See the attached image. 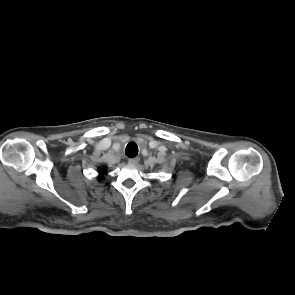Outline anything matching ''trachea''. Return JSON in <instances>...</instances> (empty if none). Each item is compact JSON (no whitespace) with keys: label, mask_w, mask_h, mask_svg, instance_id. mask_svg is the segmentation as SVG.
<instances>
[{"label":"trachea","mask_w":295,"mask_h":295,"mask_svg":"<svg viewBox=\"0 0 295 295\" xmlns=\"http://www.w3.org/2000/svg\"><path fill=\"white\" fill-rule=\"evenodd\" d=\"M125 153L128 157L133 158L136 157L138 154V146L136 143L134 142H130L127 146H126V150Z\"/></svg>","instance_id":"trachea-1"}]
</instances>
